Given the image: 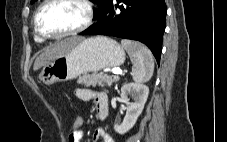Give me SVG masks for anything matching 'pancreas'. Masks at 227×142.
Instances as JSON below:
<instances>
[{"label": "pancreas", "instance_id": "1", "mask_svg": "<svg viewBox=\"0 0 227 142\" xmlns=\"http://www.w3.org/2000/svg\"><path fill=\"white\" fill-rule=\"evenodd\" d=\"M120 80L119 76H112L107 74H98L92 73L87 74L84 73L80 75L77 79L78 84H83L85 86H111L112 83L118 82Z\"/></svg>", "mask_w": 227, "mask_h": 142}]
</instances>
